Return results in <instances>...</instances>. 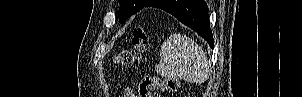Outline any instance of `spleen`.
Listing matches in <instances>:
<instances>
[{
  "label": "spleen",
  "mask_w": 302,
  "mask_h": 97,
  "mask_svg": "<svg viewBox=\"0 0 302 97\" xmlns=\"http://www.w3.org/2000/svg\"><path fill=\"white\" fill-rule=\"evenodd\" d=\"M157 72L167 78L203 83L208 78L209 64L202 48L191 38L171 34L162 44Z\"/></svg>",
  "instance_id": "3e777b00"
}]
</instances>
